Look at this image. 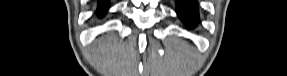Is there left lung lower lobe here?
Segmentation results:
<instances>
[{"label":"left lung lower lobe","instance_id":"left-lung-lower-lobe-1","mask_svg":"<svg viewBox=\"0 0 287 76\" xmlns=\"http://www.w3.org/2000/svg\"><path fill=\"white\" fill-rule=\"evenodd\" d=\"M177 14L188 27L198 22V3L196 0H177Z\"/></svg>","mask_w":287,"mask_h":76}]
</instances>
